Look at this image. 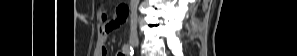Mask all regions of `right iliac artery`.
I'll use <instances>...</instances> for the list:
<instances>
[{
    "mask_svg": "<svg viewBox=\"0 0 297 56\" xmlns=\"http://www.w3.org/2000/svg\"><path fill=\"white\" fill-rule=\"evenodd\" d=\"M122 51L126 54V55H133L134 51L133 48L129 45V44H125L122 47Z\"/></svg>",
    "mask_w": 297,
    "mask_h": 56,
    "instance_id": "right-iliac-artery-1",
    "label": "right iliac artery"
}]
</instances>
